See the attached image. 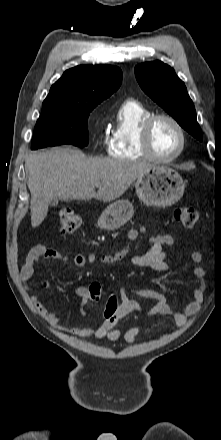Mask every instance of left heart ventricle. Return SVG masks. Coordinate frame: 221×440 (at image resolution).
I'll return each mask as SVG.
<instances>
[{"label": "left heart ventricle", "instance_id": "obj_1", "mask_svg": "<svg viewBox=\"0 0 221 440\" xmlns=\"http://www.w3.org/2000/svg\"><path fill=\"white\" fill-rule=\"evenodd\" d=\"M180 146V135L177 128L168 120L156 122L152 131V147L161 157L173 155Z\"/></svg>", "mask_w": 221, "mask_h": 440}]
</instances>
